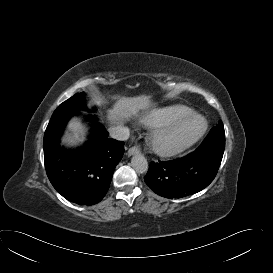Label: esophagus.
I'll list each match as a JSON object with an SVG mask.
<instances>
[{
    "label": "esophagus",
    "instance_id": "34e87169",
    "mask_svg": "<svg viewBox=\"0 0 273 273\" xmlns=\"http://www.w3.org/2000/svg\"><path fill=\"white\" fill-rule=\"evenodd\" d=\"M140 152L141 151H140L139 147L133 146V147L128 149L127 154H128V156H131V155L139 154Z\"/></svg>",
    "mask_w": 273,
    "mask_h": 273
}]
</instances>
